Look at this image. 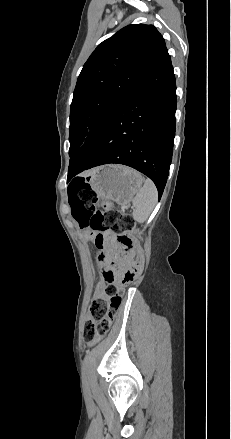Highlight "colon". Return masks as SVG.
<instances>
[{
  "label": "colon",
  "mask_w": 231,
  "mask_h": 439,
  "mask_svg": "<svg viewBox=\"0 0 231 439\" xmlns=\"http://www.w3.org/2000/svg\"><path fill=\"white\" fill-rule=\"evenodd\" d=\"M96 192L85 180H77L68 187L73 216L83 229L96 233L97 244L108 242V230L117 234L120 249L106 257L103 293L97 295L90 306V317L85 323V339L93 342L104 336L121 302L122 288L133 283L142 265L138 246L140 233L134 218L104 203L102 210L96 204ZM123 261L127 265L123 268Z\"/></svg>",
  "instance_id": "1"
}]
</instances>
